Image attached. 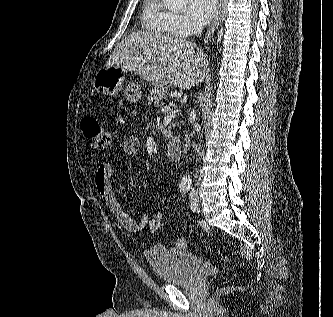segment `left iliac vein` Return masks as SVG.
<instances>
[{
  "label": "left iliac vein",
  "instance_id": "1",
  "mask_svg": "<svg viewBox=\"0 0 333 317\" xmlns=\"http://www.w3.org/2000/svg\"><path fill=\"white\" fill-rule=\"evenodd\" d=\"M190 207H191L192 211H194V212L199 211V198H198L197 193H195V192H193L191 194Z\"/></svg>",
  "mask_w": 333,
  "mask_h": 317
}]
</instances>
